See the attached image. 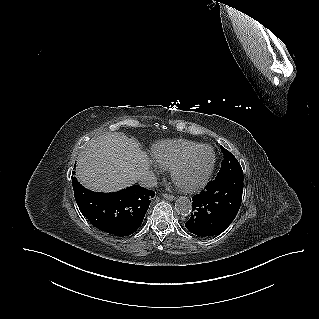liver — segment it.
Listing matches in <instances>:
<instances>
[{
  "instance_id": "6515ba94",
  "label": "liver",
  "mask_w": 319,
  "mask_h": 319,
  "mask_svg": "<svg viewBox=\"0 0 319 319\" xmlns=\"http://www.w3.org/2000/svg\"><path fill=\"white\" fill-rule=\"evenodd\" d=\"M147 154L121 133L92 139L77 160L76 176L88 189L113 192L135 184L148 171Z\"/></svg>"
}]
</instances>
